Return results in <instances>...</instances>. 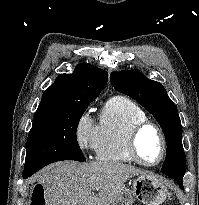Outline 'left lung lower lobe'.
Returning a JSON list of instances; mask_svg holds the SVG:
<instances>
[{"instance_id": "0a47b994", "label": "left lung lower lobe", "mask_w": 199, "mask_h": 205, "mask_svg": "<svg viewBox=\"0 0 199 205\" xmlns=\"http://www.w3.org/2000/svg\"><path fill=\"white\" fill-rule=\"evenodd\" d=\"M178 184H179V186L184 190L183 184H182V183H178Z\"/></svg>"}]
</instances>
